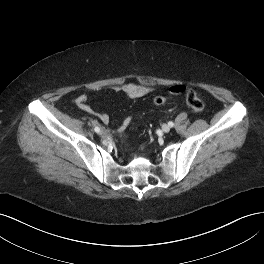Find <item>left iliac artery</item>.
<instances>
[{"label": "left iliac artery", "instance_id": "obj_1", "mask_svg": "<svg viewBox=\"0 0 264 264\" xmlns=\"http://www.w3.org/2000/svg\"><path fill=\"white\" fill-rule=\"evenodd\" d=\"M168 125H169L170 127H173V126H174V123H173L172 121H170V122H168Z\"/></svg>", "mask_w": 264, "mask_h": 264}]
</instances>
